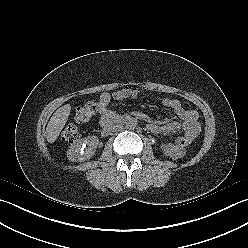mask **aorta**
<instances>
[{"mask_svg": "<svg viewBox=\"0 0 248 248\" xmlns=\"http://www.w3.org/2000/svg\"><path fill=\"white\" fill-rule=\"evenodd\" d=\"M136 126H137V123L133 119H131V120H129V121L126 122V128L128 130H133V129H135Z\"/></svg>", "mask_w": 248, "mask_h": 248, "instance_id": "aorta-1", "label": "aorta"}]
</instances>
